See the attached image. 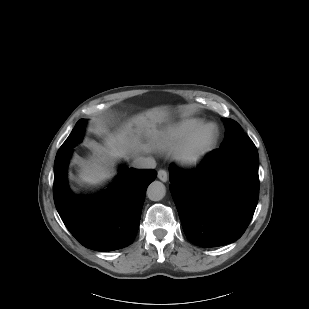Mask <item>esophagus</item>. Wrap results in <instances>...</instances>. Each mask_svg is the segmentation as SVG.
Wrapping results in <instances>:
<instances>
[{"label":"esophagus","mask_w":309,"mask_h":309,"mask_svg":"<svg viewBox=\"0 0 309 309\" xmlns=\"http://www.w3.org/2000/svg\"><path fill=\"white\" fill-rule=\"evenodd\" d=\"M158 178L162 181V182H166L168 180V173L166 170L164 169H160L158 171Z\"/></svg>","instance_id":"esophagus-1"}]
</instances>
